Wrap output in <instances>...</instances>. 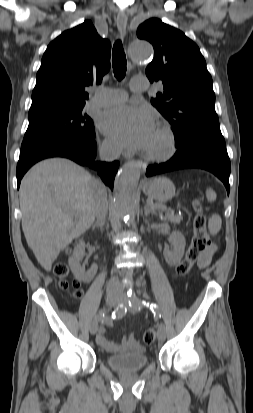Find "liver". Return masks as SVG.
Wrapping results in <instances>:
<instances>
[{"mask_svg":"<svg viewBox=\"0 0 253 413\" xmlns=\"http://www.w3.org/2000/svg\"><path fill=\"white\" fill-rule=\"evenodd\" d=\"M100 181L64 158L34 165L20 185L22 229L40 265L50 271L59 253L95 220Z\"/></svg>","mask_w":253,"mask_h":413,"instance_id":"obj_1","label":"liver"}]
</instances>
